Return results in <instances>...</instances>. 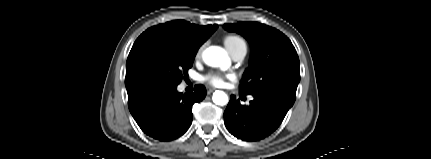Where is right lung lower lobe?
<instances>
[{"instance_id":"obj_1","label":"right lung lower lobe","mask_w":431,"mask_h":159,"mask_svg":"<svg viewBox=\"0 0 431 159\" xmlns=\"http://www.w3.org/2000/svg\"><path fill=\"white\" fill-rule=\"evenodd\" d=\"M177 85L146 86L128 97L129 110L142 131L159 141L182 136L193 119L192 106L206 96L203 85L191 94L177 91Z\"/></svg>"}]
</instances>
